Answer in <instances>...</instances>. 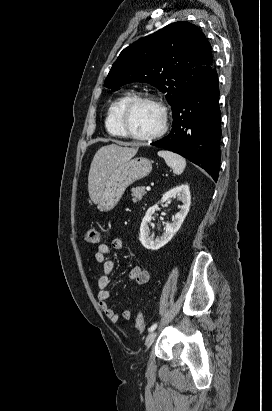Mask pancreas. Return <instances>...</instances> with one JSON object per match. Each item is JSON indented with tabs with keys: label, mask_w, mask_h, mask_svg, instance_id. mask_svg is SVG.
Returning a JSON list of instances; mask_svg holds the SVG:
<instances>
[{
	"label": "pancreas",
	"mask_w": 272,
	"mask_h": 411,
	"mask_svg": "<svg viewBox=\"0 0 272 411\" xmlns=\"http://www.w3.org/2000/svg\"><path fill=\"white\" fill-rule=\"evenodd\" d=\"M146 193L147 192L144 186L133 188L132 189V197H133L132 201L134 203L139 202Z\"/></svg>",
	"instance_id": "1"
}]
</instances>
